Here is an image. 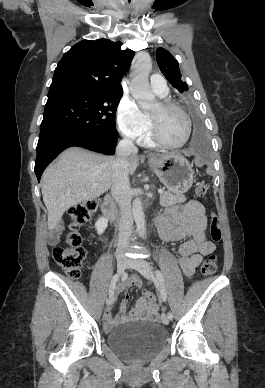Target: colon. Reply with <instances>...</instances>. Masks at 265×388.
Instances as JSON below:
<instances>
[{"label": "colon", "instance_id": "colon-1", "mask_svg": "<svg viewBox=\"0 0 265 388\" xmlns=\"http://www.w3.org/2000/svg\"><path fill=\"white\" fill-rule=\"evenodd\" d=\"M208 192L206 183H199L196 187V193L200 197H205ZM98 207L97 200H89L73 205L68 210L70 223L68 225V234L65 242L66 246L56 247L53 251V258L59 264L66 274L73 279L80 276L86 259V251L81 246L82 238L78 229L81 225L88 222ZM210 234L214 242L221 240V229L219 219L215 214L210 217ZM217 269V258L215 255H208L201 265V274L210 276ZM143 298L150 304H156V295L151 291H143Z\"/></svg>", "mask_w": 265, "mask_h": 388}]
</instances>
